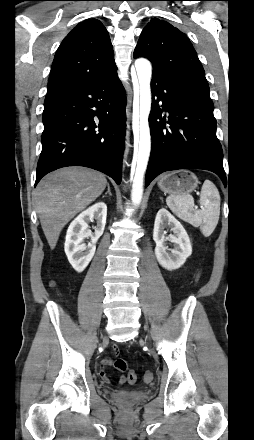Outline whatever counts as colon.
<instances>
[{"mask_svg": "<svg viewBox=\"0 0 254 440\" xmlns=\"http://www.w3.org/2000/svg\"><path fill=\"white\" fill-rule=\"evenodd\" d=\"M114 367L119 371H126L127 370V362L124 359L118 358L114 361ZM153 379V374L151 371H146L143 375V381L145 383H150ZM137 380V374L134 371H129L127 375V381L129 383H134ZM125 380L121 379L120 383H124Z\"/></svg>", "mask_w": 254, "mask_h": 440, "instance_id": "5ec220e1", "label": "colon"}]
</instances>
